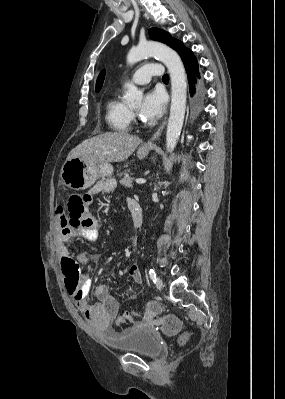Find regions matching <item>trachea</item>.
<instances>
[{"label":"trachea","instance_id":"3493384b","mask_svg":"<svg viewBox=\"0 0 285 399\" xmlns=\"http://www.w3.org/2000/svg\"><path fill=\"white\" fill-rule=\"evenodd\" d=\"M163 81H169V76L167 74H164V76L162 77Z\"/></svg>","mask_w":285,"mask_h":399}]
</instances>
